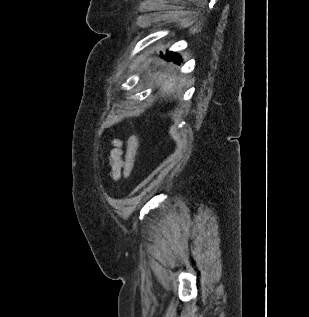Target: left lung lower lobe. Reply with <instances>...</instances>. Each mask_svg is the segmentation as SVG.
Wrapping results in <instances>:
<instances>
[{
    "label": "left lung lower lobe",
    "mask_w": 309,
    "mask_h": 317,
    "mask_svg": "<svg viewBox=\"0 0 309 317\" xmlns=\"http://www.w3.org/2000/svg\"><path fill=\"white\" fill-rule=\"evenodd\" d=\"M164 58L168 61L174 60V62L178 64L182 62L181 57L175 52H167Z\"/></svg>",
    "instance_id": "1"
}]
</instances>
